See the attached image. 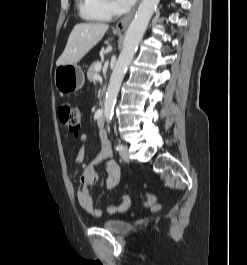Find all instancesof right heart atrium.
I'll return each mask as SVG.
<instances>
[{
  "instance_id": "right-heart-atrium-1",
  "label": "right heart atrium",
  "mask_w": 247,
  "mask_h": 265,
  "mask_svg": "<svg viewBox=\"0 0 247 265\" xmlns=\"http://www.w3.org/2000/svg\"><path fill=\"white\" fill-rule=\"evenodd\" d=\"M98 7L110 18L119 12V7L114 0H98Z\"/></svg>"
}]
</instances>
